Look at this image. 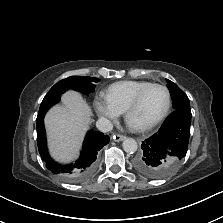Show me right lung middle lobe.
<instances>
[{
	"label": "right lung middle lobe",
	"mask_w": 223,
	"mask_h": 223,
	"mask_svg": "<svg viewBox=\"0 0 223 223\" xmlns=\"http://www.w3.org/2000/svg\"><path fill=\"white\" fill-rule=\"evenodd\" d=\"M99 82L98 78L88 76H70L57 82L46 94L41 105L49 103L60 96L67 90L73 89L83 94L89 95L95 90V83Z\"/></svg>",
	"instance_id": "obj_1"
}]
</instances>
